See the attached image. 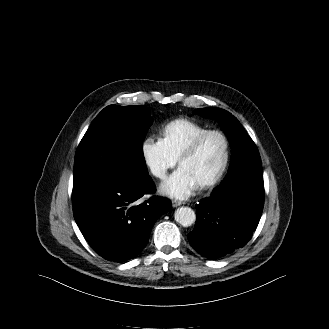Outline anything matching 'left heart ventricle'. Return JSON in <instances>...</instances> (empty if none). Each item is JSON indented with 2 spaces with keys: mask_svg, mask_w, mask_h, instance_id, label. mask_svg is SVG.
Instances as JSON below:
<instances>
[{
  "mask_svg": "<svg viewBox=\"0 0 329 329\" xmlns=\"http://www.w3.org/2000/svg\"><path fill=\"white\" fill-rule=\"evenodd\" d=\"M224 157V143L217 135L203 140L196 153L183 160V167L198 183L213 176L219 169Z\"/></svg>",
  "mask_w": 329,
  "mask_h": 329,
  "instance_id": "1",
  "label": "left heart ventricle"
}]
</instances>
